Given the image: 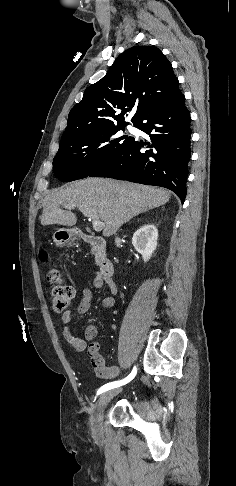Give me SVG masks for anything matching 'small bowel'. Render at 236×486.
I'll return each instance as SVG.
<instances>
[{
  "label": "small bowel",
  "mask_w": 236,
  "mask_h": 486,
  "mask_svg": "<svg viewBox=\"0 0 236 486\" xmlns=\"http://www.w3.org/2000/svg\"><path fill=\"white\" fill-rule=\"evenodd\" d=\"M104 284H106L111 293L115 294L117 292V287L113 280L111 279H104L101 275L96 273L94 279V285L97 288H101ZM92 302V293L88 288H84L82 291V298L77 306V313L79 315L85 314L91 306ZM103 306L111 307L114 304V299L112 297H106L103 300ZM62 323H63V336L69 345L77 352H84L87 351L92 366L97 374L98 377L102 379H112L116 377L119 373L118 366H107L105 364L104 358L101 356L99 352V344L97 342H92L88 345L87 342L93 341L97 335V328L95 325L89 324L85 328V338H80L75 335L74 331L71 328V321H72V312L65 311L62 314Z\"/></svg>",
  "instance_id": "1"
}]
</instances>
